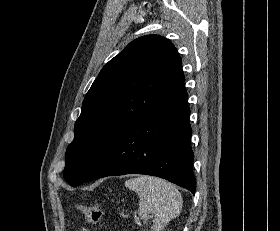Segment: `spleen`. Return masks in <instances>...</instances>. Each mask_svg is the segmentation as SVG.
Instances as JSON below:
<instances>
[{
  "instance_id": "1",
  "label": "spleen",
  "mask_w": 280,
  "mask_h": 231,
  "mask_svg": "<svg viewBox=\"0 0 280 231\" xmlns=\"http://www.w3.org/2000/svg\"><path fill=\"white\" fill-rule=\"evenodd\" d=\"M126 187L136 191L140 197L139 215L141 219H148V213H154L152 231H161L171 219L178 217L183 199L176 185L161 177L152 175H138L125 181Z\"/></svg>"
}]
</instances>
